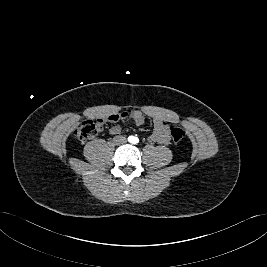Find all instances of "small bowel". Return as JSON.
<instances>
[{"label": "small bowel", "instance_id": "small-bowel-1", "mask_svg": "<svg viewBox=\"0 0 267 267\" xmlns=\"http://www.w3.org/2000/svg\"><path fill=\"white\" fill-rule=\"evenodd\" d=\"M113 114L114 113L109 114L106 117H109ZM127 115L128 118L124 122L132 120L136 125H142L146 120V114L141 110H133L130 113H127ZM151 117L153 119V132L150 137L151 141L163 145L169 144L170 142L169 127L166 123L169 120V118L161 115H151ZM109 132L112 135H117L121 132V127L119 125H113L109 129Z\"/></svg>", "mask_w": 267, "mask_h": 267}]
</instances>
